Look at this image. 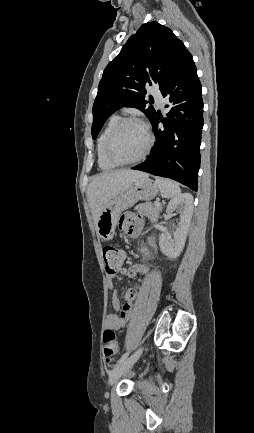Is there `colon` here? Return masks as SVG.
<instances>
[{
    "mask_svg": "<svg viewBox=\"0 0 254 433\" xmlns=\"http://www.w3.org/2000/svg\"><path fill=\"white\" fill-rule=\"evenodd\" d=\"M102 256L108 273H116L122 261V251L116 246L106 245L102 249ZM104 356L110 364L119 349V340L116 332L108 328L104 331Z\"/></svg>",
    "mask_w": 254,
    "mask_h": 433,
    "instance_id": "obj_1",
    "label": "colon"
}]
</instances>
